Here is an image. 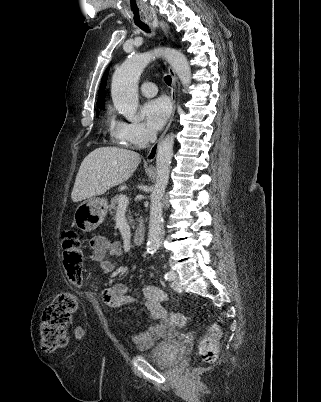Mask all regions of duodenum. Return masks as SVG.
Returning a JSON list of instances; mask_svg holds the SVG:
<instances>
[{"label":"duodenum","mask_w":321,"mask_h":402,"mask_svg":"<svg viewBox=\"0 0 321 402\" xmlns=\"http://www.w3.org/2000/svg\"><path fill=\"white\" fill-rule=\"evenodd\" d=\"M145 234H146V228H145L144 222L139 221V223L136 227V230L133 234V238H132L133 244L136 246L142 245V243L144 242V239H145Z\"/></svg>","instance_id":"1"}]
</instances>
